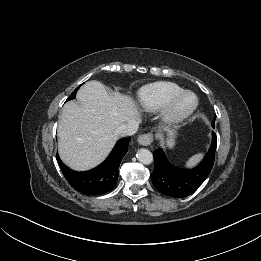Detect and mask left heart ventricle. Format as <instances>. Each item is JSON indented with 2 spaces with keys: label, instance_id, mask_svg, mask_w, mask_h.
<instances>
[{
  "label": "left heart ventricle",
  "instance_id": "1",
  "mask_svg": "<svg viewBox=\"0 0 261 261\" xmlns=\"http://www.w3.org/2000/svg\"><path fill=\"white\" fill-rule=\"evenodd\" d=\"M193 101H194V99H193L192 96H186V97H184V98L180 101L178 107H179V109H181V110H182V109H186V108H188L189 106H191V105L193 104Z\"/></svg>",
  "mask_w": 261,
  "mask_h": 261
}]
</instances>
